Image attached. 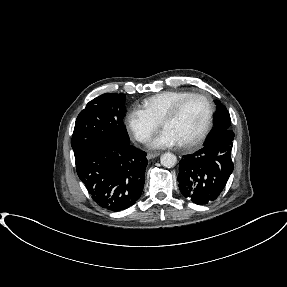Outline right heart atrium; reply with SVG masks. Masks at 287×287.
<instances>
[{
	"instance_id": "obj_1",
	"label": "right heart atrium",
	"mask_w": 287,
	"mask_h": 287,
	"mask_svg": "<svg viewBox=\"0 0 287 287\" xmlns=\"http://www.w3.org/2000/svg\"><path fill=\"white\" fill-rule=\"evenodd\" d=\"M127 131L139 142H147L156 131L159 123L139 108L130 109L124 119Z\"/></svg>"
}]
</instances>
